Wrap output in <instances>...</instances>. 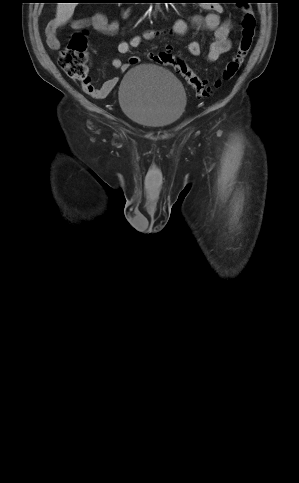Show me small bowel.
Instances as JSON below:
<instances>
[{"label": "small bowel", "mask_w": 299, "mask_h": 483, "mask_svg": "<svg viewBox=\"0 0 299 483\" xmlns=\"http://www.w3.org/2000/svg\"><path fill=\"white\" fill-rule=\"evenodd\" d=\"M223 7L217 4L209 6V11L204 14H197L193 16L192 21L198 26L205 27L212 32V41L209 44L206 59L210 63L217 62L220 57L229 52L231 49V41L229 38L231 25L228 21L221 20V13ZM122 16L127 18L129 11L124 10ZM58 21H51L46 29L47 43L50 48L58 49L60 41L57 36ZM71 27L76 30L93 29L105 35H115L120 29V23L117 20H108L102 13H96L90 18L76 20L71 23ZM188 31V23L184 19L176 20L168 30L163 29H147L141 34L133 36L129 40L121 41L118 44V51L121 54H128L130 51L141 45L143 41L156 40L165 34H171L176 37H183ZM188 52L194 56L201 55V46L197 41H190L187 44ZM140 62L139 57L132 56L128 62H122L119 58L112 61L115 69L125 72L130 66L136 65ZM119 77H112L106 80L100 87L92 85L91 90L83 87L84 91L96 98L106 97L118 84Z\"/></svg>", "instance_id": "1"}]
</instances>
